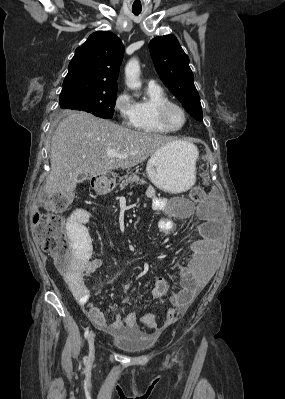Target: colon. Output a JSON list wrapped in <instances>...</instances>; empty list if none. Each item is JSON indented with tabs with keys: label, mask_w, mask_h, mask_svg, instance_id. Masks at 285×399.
Segmentation results:
<instances>
[{
	"label": "colon",
	"mask_w": 285,
	"mask_h": 399,
	"mask_svg": "<svg viewBox=\"0 0 285 399\" xmlns=\"http://www.w3.org/2000/svg\"><path fill=\"white\" fill-rule=\"evenodd\" d=\"M205 190L201 186H194L190 190L192 200H200L205 197ZM52 206L63 207L67 205L66 199L54 198L51 201ZM82 239L78 246V252L83 259H88L92 254V245L90 242L86 223L80 221ZM30 231L37 241L39 248L48 253L56 262L58 270L75 278L80 277V270L72 264V255L66 239L65 222L54 213L37 212L30 224ZM180 313L174 309H169L167 318L173 320L179 317ZM142 324L147 328L159 327L156 316L152 312H147L141 317Z\"/></svg>",
	"instance_id": "obj_1"
}]
</instances>
